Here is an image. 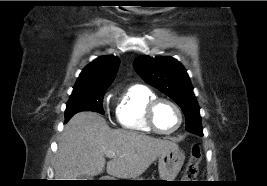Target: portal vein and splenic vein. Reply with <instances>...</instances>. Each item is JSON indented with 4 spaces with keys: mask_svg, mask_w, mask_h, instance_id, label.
Masks as SVG:
<instances>
[{
    "mask_svg": "<svg viewBox=\"0 0 267 186\" xmlns=\"http://www.w3.org/2000/svg\"><path fill=\"white\" fill-rule=\"evenodd\" d=\"M105 155H106V157H109V158H112V157H114L116 154H115V152H106L105 153Z\"/></svg>",
    "mask_w": 267,
    "mask_h": 186,
    "instance_id": "18ae733b",
    "label": "portal vein and splenic vein"
}]
</instances>
